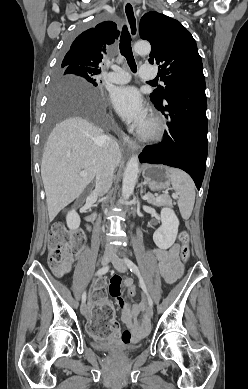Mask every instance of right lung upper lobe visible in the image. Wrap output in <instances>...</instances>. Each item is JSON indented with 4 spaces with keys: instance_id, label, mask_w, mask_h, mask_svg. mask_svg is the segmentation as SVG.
Masks as SVG:
<instances>
[{
    "instance_id": "right-lung-upper-lobe-1",
    "label": "right lung upper lobe",
    "mask_w": 248,
    "mask_h": 389,
    "mask_svg": "<svg viewBox=\"0 0 248 389\" xmlns=\"http://www.w3.org/2000/svg\"><path fill=\"white\" fill-rule=\"evenodd\" d=\"M118 36L119 31L114 22L99 23L96 27L81 33L74 40L62 63L101 72L106 47L114 43Z\"/></svg>"
}]
</instances>
